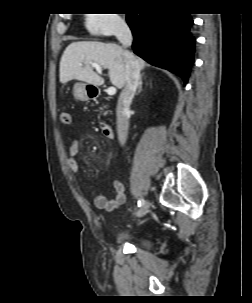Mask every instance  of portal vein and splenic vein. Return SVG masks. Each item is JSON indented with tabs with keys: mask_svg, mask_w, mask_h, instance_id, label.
<instances>
[{
	"mask_svg": "<svg viewBox=\"0 0 252 303\" xmlns=\"http://www.w3.org/2000/svg\"><path fill=\"white\" fill-rule=\"evenodd\" d=\"M91 66L93 68H95L98 73L102 74V68H101V66L99 64H97V63H91ZM116 91L117 90H116L115 87H109L108 90H107V94L108 95H115Z\"/></svg>",
	"mask_w": 252,
	"mask_h": 303,
	"instance_id": "portal-vein-and-splenic-vein-1",
	"label": "portal vein and splenic vein"
}]
</instances>
